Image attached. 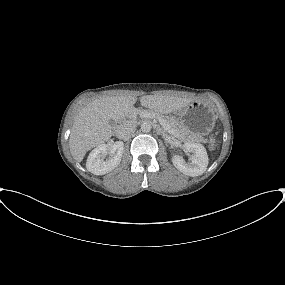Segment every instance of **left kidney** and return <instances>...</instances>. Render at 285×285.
Instances as JSON below:
<instances>
[{"mask_svg":"<svg viewBox=\"0 0 285 285\" xmlns=\"http://www.w3.org/2000/svg\"><path fill=\"white\" fill-rule=\"evenodd\" d=\"M186 151L192 152L194 155L191 162H186L181 156L172 157L174 166L182 173L188 176L202 175L208 166V155L205 147L199 143L186 142L183 145Z\"/></svg>","mask_w":285,"mask_h":285,"instance_id":"left-kidney-1","label":"left kidney"}]
</instances>
